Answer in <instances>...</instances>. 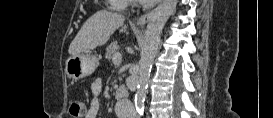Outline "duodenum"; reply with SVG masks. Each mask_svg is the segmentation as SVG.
I'll return each mask as SVG.
<instances>
[{"label":"duodenum","mask_w":273,"mask_h":118,"mask_svg":"<svg viewBox=\"0 0 273 118\" xmlns=\"http://www.w3.org/2000/svg\"><path fill=\"white\" fill-rule=\"evenodd\" d=\"M128 95V89L123 85L118 86L115 90V96L118 100H122L128 97Z\"/></svg>","instance_id":"410a0bca"}]
</instances>
